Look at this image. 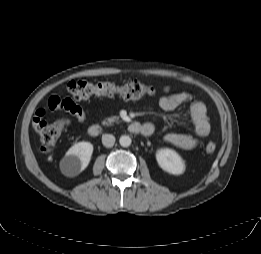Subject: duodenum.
<instances>
[{"mask_svg": "<svg viewBox=\"0 0 261 254\" xmlns=\"http://www.w3.org/2000/svg\"><path fill=\"white\" fill-rule=\"evenodd\" d=\"M152 126H145L139 122H132L129 124L128 129L130 132L135 134H141L143 136H148L152 131ZM103 132V128L100 125L94 124L88 127L87 134L90 137L99 136Z\"/></svg>", "mask_w": 261, "mask_h": 254, "instance_id": "obj_1", "label": "duodenum"}]
</instances>
